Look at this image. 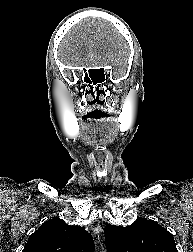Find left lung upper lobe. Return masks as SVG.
I'll use <instances>...</instances> for the list:
<instances>
[{
    "instance_id": "5c2ea615",
    "label": "left lung upper lobe",
    "mask_w": 193,
    "mask_h": 252,
    "mask_svg": "<svg viewBox=\"0 0 193 252\" xmlns=\"http://www.w3.org/2000/svg\"><path fill=\"white\" fill-rule=\"evenodd\" d=\"M105 237L108 252H178L172 234L144 218L127 227L109 224Z\"/></svg>"
}]
</instances>
